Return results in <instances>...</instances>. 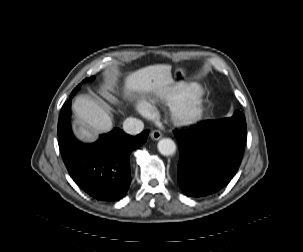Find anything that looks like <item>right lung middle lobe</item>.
Segmentation results:
<instances>
[{
	"label": "right lung middle lobe",
	"mask_w": 303,
	"mask_h": 252,
	"mask_svg": "<svg viewBox=\"0 0 303 252\" xmlns=\"http://www.w3.org/2000/svg\"><path fill=\"white\" fill-rule=\"evenodd\" d=\"M93 79H94V77L87 78L86 80L83 81V83H84V82L91 81V80H93ZM80 86H81V84H79V85L74 89V92H76V91L80 88Z\"/></svg>",
	"instance_id": "right-lung-middle-lobe-1"
}]
</instances>
